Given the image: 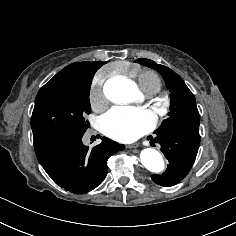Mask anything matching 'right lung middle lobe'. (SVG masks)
I'll return each mask as SVG.
<instances>
[{
    "instance_id": "right-lung-middle-lobe-1",
    "label": "right lung middle lobe",
    "mask_w": 236,
    "mask_h": 236,
    "mask_svg": "<svg viewBox=\"0 0 236 236\" xmlns=\"http://www.w3.org/2000/svg\"><path fill=\"white\" fill-rule=\"evenodd\" d=\"M92 78L47 82L35 98L31 117L33 137L57 131L85 133L89 122L85 121L84 115L91 112Z\"/></svg>"
}]
</instances>
